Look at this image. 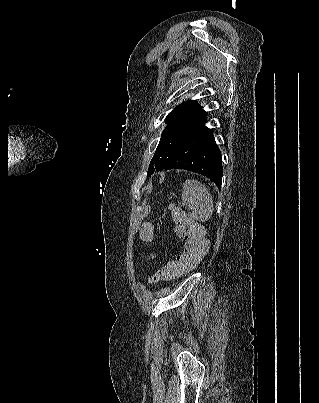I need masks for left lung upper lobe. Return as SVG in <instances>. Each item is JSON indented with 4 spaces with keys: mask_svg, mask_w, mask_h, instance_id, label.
I'll use <instances>...</instances> for the list:
<instances>
[{
    "mask_svg": "<svg viewBox=\"0 0 319 403\" xmlns=\"http://www.w3.org/2000/svg\"><path fill=\"white\" fill-rule=\"evenodd\" d=\"M205 113L196 101H186L178 105L166 117L168 124L163 130L160 142L150 164L147 175L153 174L154 170L162 171L170 159L186 139L193 125Z\"/></svg>",
    "mask_w": 319,
    "mask_h": 403,
    "instance_id": "left-lung-upper-lobe-1",
    "label": "left lung upper lobe"
}]
</instances>
